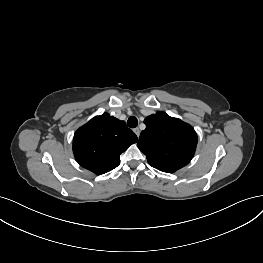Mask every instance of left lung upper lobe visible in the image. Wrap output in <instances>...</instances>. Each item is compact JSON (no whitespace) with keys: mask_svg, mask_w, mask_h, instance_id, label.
I'll list each match as a JSON object with an SVG mask.
<instances>
[{"mask_svg":"<svg viewBox=\"0 0 263 263\" xmlns=\"http://www.w3.org/2000/svg\"><path fill=\"white\" fill-rule=\"evenodd\" d=\"M144 123L137 145L152 167L172 173L191 161L197 146L191 125L164 112L148 116Z\"/></svg>","mask_w":263,"mask_h":263,"instance_id":"left-lung-upper-lobe-1","label":"left lung upper lobe"}]
</instances>
